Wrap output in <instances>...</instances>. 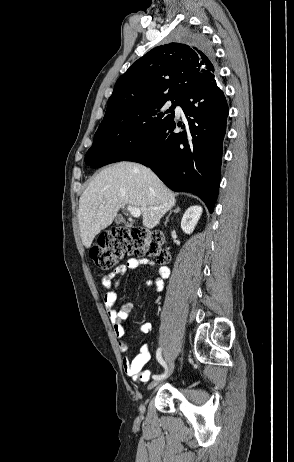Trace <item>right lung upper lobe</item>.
<instances>
[{"instance_id":"obj_1","label":"right lung upper lobe","mask_w":294,"mask_h":462,"mask_svg":"<svg viewBox=\"0 0 294 462\" xmlns=\"http://www.w3.org/2000/svg\"><path fill=\"white\" fill-rule=\"evenodd\" d=\"M216 76L212 50L181 43L155 47L117 80L105 116L153 98L181 97Z\"/></svg>"}]
</instances>
